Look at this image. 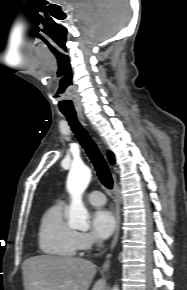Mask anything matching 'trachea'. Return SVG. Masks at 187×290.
Returning a JSON list of instances; mask_svg holds the SVG:
<instances>
[{
  "label": "trachea",
  "instance_id": "obj_1",
  "mask_svg": "<svg viewBox=\"0 0 187 290\" xmlns=\"http://www.w3.org/2000/svg\"><path fill=\"white\" fill-rule=\"evenodd\" d=\"M67 118V121L74 132L76 138L80 142L81 146L86 151L88 157L90 158L92 164L95 167L97 176L100 182L109 190L113 188V179L108 168V165L97 148L96 144L87 134L86 130L82 127L77 119L76 113H63Z\"/></svg>",
  "mask_w": 187,
  "mask_h": 290
}]
</instances>
